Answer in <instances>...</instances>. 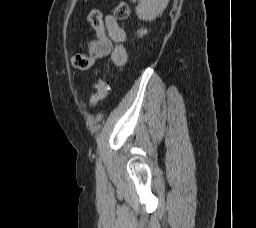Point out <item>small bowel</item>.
Listing matches in <instances>:
<instances>
[{"mask_svg": "<svg viewBox=\"0 0 256 228\" xmlns=\"http://www.w3.org/2000/svg\"><path fill=\"white\" fill-rule=\"evenodd\" d=\"M105 37L91 44V51L98 57L110 56L116 66H123L127 61L125 48L126 33L112 15L105 18Z\"/></svg>", "mask_w": 256, "mask_h": 228, "instance_id": "c3829d8e", "label": "small bowel"}]
</instances>
